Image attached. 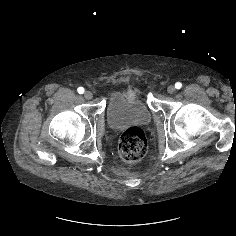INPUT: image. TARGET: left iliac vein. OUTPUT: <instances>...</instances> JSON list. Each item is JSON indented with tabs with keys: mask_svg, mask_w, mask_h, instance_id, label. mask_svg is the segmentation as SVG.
<instances>
[{
	"mask_svg": "<svg viewBox=\"0 0 236 236\" xmlns=\"http://www.w3.org/2000/svg\"><path fill=\"white\" fill-rule=\"evenodd\" d=\"M176 91L175 87L173 85L168 86L167 92L169 94H173Z\"/></svg>",
	"mask_w": 236,
	"mask_h": 236,
	"instance_id": "obj_1",
	"label": "left iliac vein"
}]
</instances>
